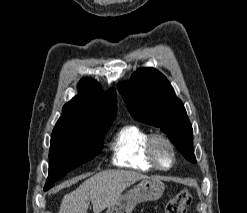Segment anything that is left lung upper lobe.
Masks as SVG:
<instances>
[{
    "label": "left lung upper lobe",
    "mask_w": 247,
    "mask_h": 213,
    "mask_svg": "<svg viewBox=\"0 0 247 213\" xmlns=\"http://www.w3.org/2000/svg\"><path fill=\"white\" fill-rule=\"evenodd\" d=\"M118 90L134 119L159 127L187 160L196 162L191 123L163 74L154 68H140L128 83H119Z\"/></svg>",
    "instance_id": "5c2ea615"
}]
</instances>
